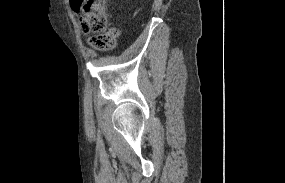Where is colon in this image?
I'll use <instances>...</instances> for the list:
<instances>
[{"label":"colon","mask_w":285,"mask_h":183,"mask_svg":"<svg viewBox=\"0 0 285 183\" xmlns=\"http://www.w3.org/2000/svg\"><path fill=\"white\" fill-rule=\"evenodd\" d=\"M71 3L79 16L81 30L94 34L90 44L100 51L112 50L118 30L108 27V0H71Z\"/></svg>","instance_id":"colon-1"}]
</instances>
